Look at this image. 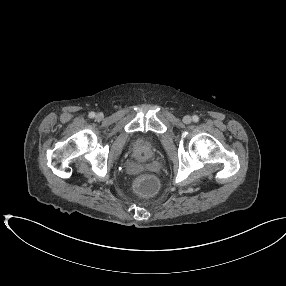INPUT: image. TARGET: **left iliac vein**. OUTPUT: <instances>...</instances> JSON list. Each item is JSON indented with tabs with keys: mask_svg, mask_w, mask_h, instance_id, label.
I'll return each mask as SVG.
<instances>
[{
	"mask_svg": "<svg viewBox=\"0 0 286 286\" xmlns=\"http://www.w3.org/2000/svg\"><path fill=\"white\" fill-rule=\"evenodd\" d=\"M191 121H192V118L189 115H186L183 117L184 123L189 124V123H191Z\"/></svg>",
	"mask_w": 286,
	"mask_h": 286,
	"instance_id": "obj_1",
	"label": "left iliac vein"
}]
</instances>
